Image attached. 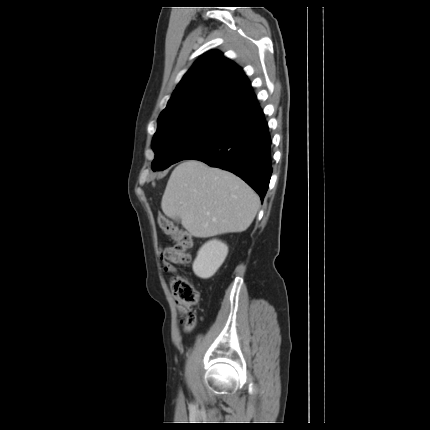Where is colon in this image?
<instances>
[{
    "instance_id": "colon-1",
    "label": "colon",
    "mask_w": 430,
    "mask_h": 430,
    "mask_svg": "<svg viewBox=\"0 0 430 430\" xmlns=\"http://www.w3.org/2000/svg\"><path fill=\"white\" fill-rule=\"evenodd\" d=\"M158 224L162 231L173 239V243L162 250V258L166 262L186 264L190 261L189 250L193 247V240L189 233L178 229L167 217H158ZM174 299L178 310L183 316L184 330L191 331L196 323L193 311L199 300V293L191 280L183 273H175L170 279Z\"/></svg>"
}]
</instances>
